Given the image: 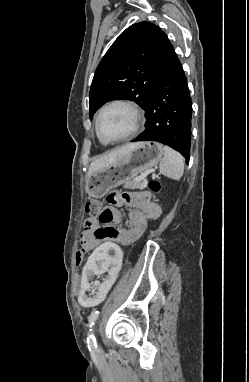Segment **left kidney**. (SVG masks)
Segmentation results:
<instances>
[{"instance_id":"5707ae66","label":"left kidney","mask_w":249,"mask_h":382,"mask_svg":"<svg viewBox=\"0 0 249 382\" xmlns=\"http://www.w3.org/2000/svg\"><path fill=\"white\" fill-rule=\"evenodd\" d=\"M102 245H95V250L84 265L81 272L78 294L82 309L102 307L105 293L111 289L119 273L122 272L123 253L121 245H113L112 240H103Z\"/></svg>"}]
</instances>
